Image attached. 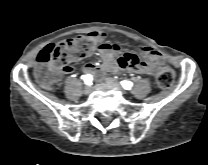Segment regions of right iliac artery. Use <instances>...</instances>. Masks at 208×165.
<instances>
[{
	"instance_id": "1",
	"label": "right iliac artery",
	"mask_w": 208,
	"mask_h": 165,
	"mask_svg": "<svg viewBox=\"0 0 208 165\" xmlns=\"http://www.w3.org/2000/svg\"><path fill=\"white\" fill-rule=\"evenodd\" d=\"M82 78L84 79L85 81V84L87 85H91L92 84V76L90 74H87V75H83Z\"/></svg>"
}]
</instances>
